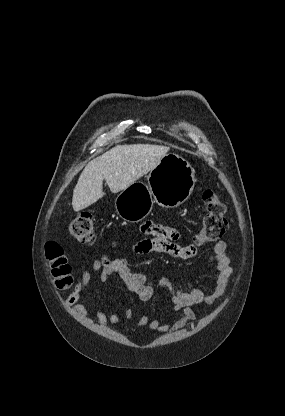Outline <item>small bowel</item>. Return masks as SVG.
<instances>
[{
    "mask_svg": "<svg viewBox=\"0 0 285 416\" xmlns=\"http://www.w3.org/2000/svg\"><path fill=\"white\" fill-rule=\"evenodd\" d=\"M142 232L147 236L134 245V252L137 254L163 253L180 260H188L198 253V245L190 243L180 245V232L170 226H165L157 222H146L142 225ZM227 245L224 241H218L212 248L210 261L214 265L215 284L211 291L204 292L199 288L182 290L176 288L168 279L161 278L156 280L157 285L165 293L168 301L178 318L167 322L159 319H152L147 314L140 317L136 322L137 328L148 327L151 331L161 334L176 332L183 328L188 322L196 320V313L193 307L201 303L214 305L225 294L230 282L232 267L230 259L226 254ZM92 271L98 274L102 283L107 282L111 277H117L122 285L130 292L136 294L143 302H149L155 295L153 286L154 278L141 273L133 272L127 261L124 259H108L106 257L95 260L92 264ZM92 274L83 271L77 279L73 291L65 300V304L71 306L75 313L80 317L86 318L88 309L81 303L82 294L90 285ZM98 323L102 326L115 325L120 317L115 312L108 314L92 307ZM124 317L128 320L133 317V310H124Z\"/></svg>",
    "mask_w": 285,
    "mask_h": 416,
    "instance_id": "c3829d8e",
    "label": "small bowel"
}]
</instances>
